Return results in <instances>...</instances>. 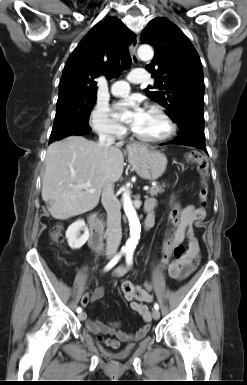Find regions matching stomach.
Segmentation results:
<instances>
[{"instance_id": "obj_1", "label": "stomach", "mask_w": 247, "mask_h": 385, "mask_svg": "<svg viewBox=\"0 0 247 385\" xmlns=\"http://www.w3.org/2000/svg\"><path fill=\"white\" fill-rule=\"evenodd\" d=\"M128 161L141 178L151 181L162 176L167 166V158L164 154L143 145L132 146Z\"/></svg>"}]
</instances>
